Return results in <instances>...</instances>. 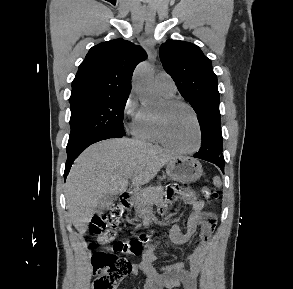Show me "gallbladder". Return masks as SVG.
<instances>
[{"label":"gallbladder","instance_id":"1","mask_svg":"<svg viewBox=\"0 0 293 289\" xmlns=\"http://www.w3.org/2000/svg\"><path fill=\"white\" fill-rule=\"evenodd\" d=\"M117 199V196L114 194H106L103 197L100 198L97 208H96V212L98 214L103 213L105 210H107L112 204L113 202Z\"/></svg>","mask_w":293,"mask_h":289}]
</instances>
